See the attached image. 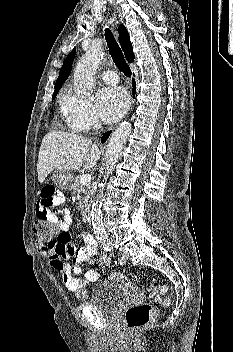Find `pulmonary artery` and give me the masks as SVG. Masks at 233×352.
I'll list each match as a JSON object with an SVG mask.
<instances>
[{"label": "pulmonary artery", "mask_w": 233, "mask_h": 352, "mask_svg": "<svg viewBox=\"0 0 233 352\" xmlns=\"http://www.w3.org/2000/svg\"><path fill=\"white\" fill-rule=\"evenodd\" d=\"M101 78L107 84H116L118 83V76L114 71H104L101 73Z\"/></svg>", "instance_id": "obj_1"}]
</instances>
